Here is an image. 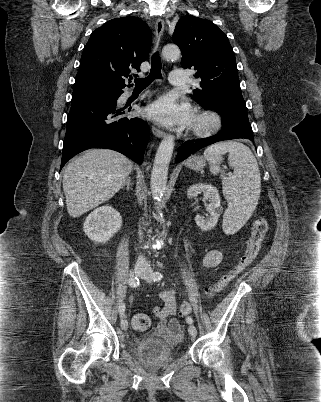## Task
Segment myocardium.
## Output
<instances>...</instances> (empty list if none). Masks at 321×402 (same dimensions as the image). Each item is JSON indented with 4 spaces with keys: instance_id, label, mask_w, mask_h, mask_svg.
I'll list each match as a JSON object with an SVG mask.
<instances>
[{
    "instance_id": "myocardium-1",
    "label": "myocardium",
    "mask_w": 321,
    "mask_h": 402,
    "mask_svg": "<svg viewBox=\"0 0 321 402\" xmlns=\"http://www.w3.org/2000/svg\"><path fill=\"white\" fill-rule=\"evenodd\" d=\"M193 118L204 122L203 125L190 124L189 132L197 138H207L217 134L222 127L220 116L212 110H198Z\"/></svg>"
}]
</instances>
